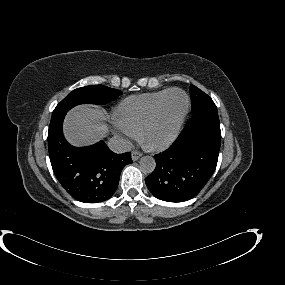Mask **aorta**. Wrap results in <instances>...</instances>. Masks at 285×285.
<instances>
[{
  "label": "aorta",
  "mask_w": 285,
  "mask_h": 285,
  "mask_svg": "<svg viewBox=\"0 0 285 285\" xmlns=\"http://www.w3.org/2000/svg\"><path fill=\"white\" fill-rule=\"evenodd\" d=\"M140 169L144 173H152L156 168V161L152 156H143L139 162Z\"/></svg>",
  "instance_id": "1"
}]
</instances>
